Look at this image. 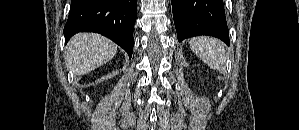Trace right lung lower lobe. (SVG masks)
I'll use <instances>...</instances> for the list:
<instances>
[{
    "label": "right lung lower lobe",
    "mask_w": 299,
    "mask_h": 130,
    "mask_svg": "<svg viewBox=\"0 0 299 130\" xmlns=\"http://www.w3.org/2000/svg\"><path fill=\"white\" fill-rule=\"evenodd\" d=\"M137 0H71L64 27L65 43L78 32H96L133 52Z\"/></svg>",
    "instance_id": "98d812e1"
}]
</instances>
